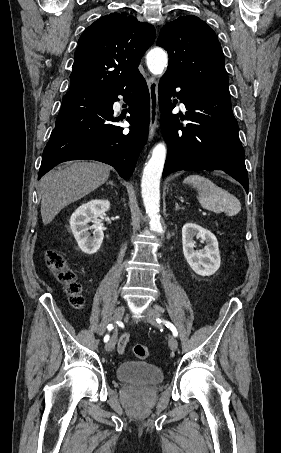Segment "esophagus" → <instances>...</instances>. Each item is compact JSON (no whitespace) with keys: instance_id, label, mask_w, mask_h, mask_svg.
Wrapping results in <instances>:
<instances>
[{"instance_id":"1","label":"esophagus","mask_w":281,"mask_h":453,"mask_svg":"<svg viewBox=\"0 0 281 453\" xmlns=\"http://www.w3.org/2000/svg\"><path fill=\"white\" fill-rule=\"evenodd\" d=\"M148 90L150 94V127L149 138H153L157 128L158 120V84L155 78L147 79Z\"/></svg>"}]
</instances>
